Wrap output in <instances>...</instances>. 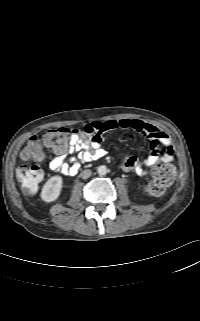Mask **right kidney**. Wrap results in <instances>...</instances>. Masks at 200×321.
I'll return each instance as SVG.
<instances>
[{
    "mask_svg": "<svg viewBox=\"0 0 200 321\" xmlns=\"http://www.w3.org/2000/svg\"><path fill=\"white\" fill-rule=\"evenodd\" d=\"M62 189V177L53 176L47 180L41 191V198L45 202H53L57 200Z\"/></svg>",
    "mask_w": 200,
    "mask_h": 321,
    "instance_id": "right-kidney-1",
    "label": "right kidney"
}]
</instances>
